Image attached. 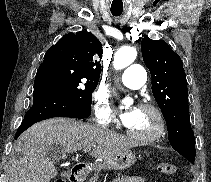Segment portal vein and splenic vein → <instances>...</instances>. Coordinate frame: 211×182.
Listing matches in <instances>:
<instances>
[{
    "label": "portal vein and splenic vein",
    "instance_id": "1",
    "mask_svg": "<svg viewBox=\"0 0 211 182\" xmlns=\"http://www.w3.org/2000/svg\"><path fill=\"white\" fill-rule=\"evenodd\" d=\"M90 149H91V147H86V148H84V152H88V151H90Z\"/></svg>",
    "mask_w": 211,
    "mask_h": 182
}]
</instances>
